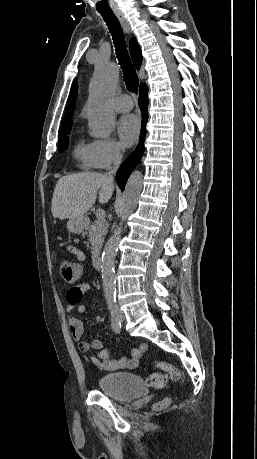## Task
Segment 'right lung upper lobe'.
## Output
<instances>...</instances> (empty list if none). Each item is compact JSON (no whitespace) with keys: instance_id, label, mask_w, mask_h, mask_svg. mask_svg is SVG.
<instances>
[{"instance_id":"obj_1","label":"right lung upper lobe","mask_w":257,"mask_h":459,"mask_svg":"<svg viewBox=\"0 0 257 459\" xmlns=\"http://www.w3.org/2000/svg\"><path fill=\"white\" fill-rule=\"evenodd\" d=\"M130 53L132 61L137 69L140 68L142 63L141 49L135 38H131L129 42ZM76 94L70 93L68 98V107L66 109L65 117L62 120V128L59 129V132L62 130L70 129L72 126V116L75 109Z\"/></svg>"}]
</instances>
